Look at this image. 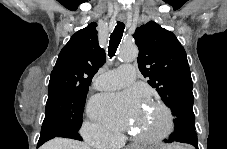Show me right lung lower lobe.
<instances>
[{
    "label": "right lung lower lobe",
    "mask_w": 227,
    "mask_h": 149,
    "mask_svg": "<svg viewBox=\"0 0 227 149\" xmlns=\"http://www.w3.org/2000/svg\"><path fill=\"white\" fill-rule=\"evenodd\" d=\"M54 137H64V138L82 140L81 136L78 134L77 131H69V132H63V133L48 131V132L41 133L37 146L38 147L41 146L46 141L53 139Z\"/></svg>",
    "instance_id": "obj_1"
}]
</instances>
